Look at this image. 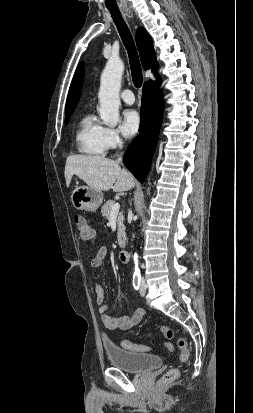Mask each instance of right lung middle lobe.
Segmentation results:
<instances>
[{
	"mask_svg": "<svg viewBox=\"0 0 253 413\" xmlns=\"http://www.w3.org/2000/svg\"><path fill=\"white\" fill-rule=\"evenodd\" d=\"M70 116H71V115L65 116V124L68 123V121H69V119H70Z\"/></svg>",
	"mask_w": 253,
	"mask_h": 413,
	"instance_id": "1",
	"label": "right lung middle lobe"
}]
</instances>
